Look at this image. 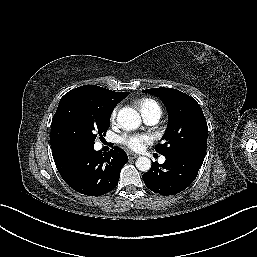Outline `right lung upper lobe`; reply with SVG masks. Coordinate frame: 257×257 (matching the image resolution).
I'll return each mask as SVG.
<instances>
[{
  "mask_svg": "<svg viewBox=\"0 0 257 257\" xmlns=\"http://www.w3.org/2000/svg\"><path fill=\"white\" fill-rule=\"evenodd\" d=\"M81 88L92 89V90L103 92L106 95H108L112 99V101L115 102L116 104L122 101L129 94V92H114L96 85H85V86H81Z\"/></svg>",
  "mask_w": 257,
  "mask_h": 257,
  "instance_id": "cb5924a9",
  "label": "right lung upper lobe"
}]
</instances>
